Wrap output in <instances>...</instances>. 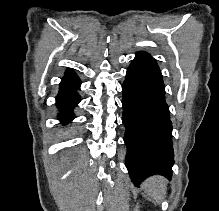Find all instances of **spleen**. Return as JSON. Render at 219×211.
Returning <instances> with one entry per match:
<instances>
[{
  "label": "spleen",
  "instance_id": "obj_1",
  "mask_svg": "<svg viewBox=\"0 0 219 211\" xmlns=\"http://www.w3.org/2000/svg\"><path fill=\"white\" fill-rule=\"evenodd\" d=\"M142 187L149 199L160 201L165 195L166 179L161 177V175H152V177H147V179L143 181Z\"/></svg>",
  "mask_w": 219,
  "mask_h": 211
}]
</instances>
